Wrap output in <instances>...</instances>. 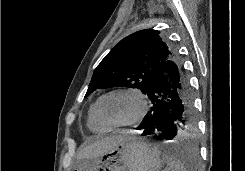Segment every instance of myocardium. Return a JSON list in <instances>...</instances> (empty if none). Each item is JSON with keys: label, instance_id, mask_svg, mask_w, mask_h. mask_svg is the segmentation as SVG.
I'll return each mask as SVG.
<instances>
[{"label": "myocardium", "instance_id": "f54148a6", "mask_svg": "<svg viewBox=\"0 0 245 171\" xmlns=\"http://www.w3.org/2000/svg\"><path fill=\"white\" fill-rule=\"evenodd\" d=\"M114 94H129L135 97V99L137 100L138 109L129 120L121 122V123H110L103 118L101 111H100L101 103L106 97L110 95H114ZM147 109H148V102H147L146 96L140 89L135 88V87H121V88L110 90L98 98V100L96 101V105H95V114H96L97 119L106 127L123 128V127L132 126L140 122L145 116Z\"/></svg>", "mask_w": 245, "mask_h": 171}]
</instances>
